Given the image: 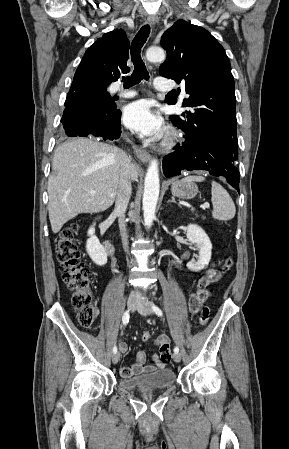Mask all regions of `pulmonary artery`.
Wrapping results in <instances>:
<instances>
[{
	"mask_svg": "<svg viewBox=\"0 0 289 449\" xmlns=\"http://www.w3.org/2000/svg\"><path fill=\"white\" fill-rule=\"evenodd\" d=\"M154 86L158 90H166L169 88V81L164 77H157L155 79ZM113 92L123 98H130V97L135 96V92H132V91L121 92V91H118V89H113Z\"/></svg>",
	"mask_w": 289,
	"mask_h": 449,
	"instance_id": "obj_1",
	"label": "pulmonary artery"
}]
</instances>
